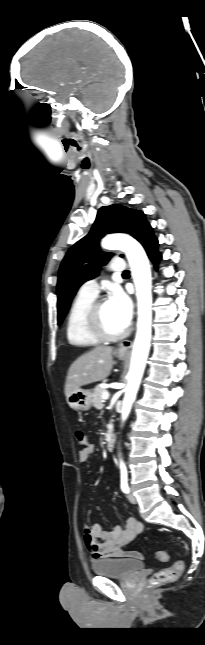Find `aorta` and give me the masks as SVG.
Wrapping results in <instances>:
<instances>
[{
	"mask_svg": "<svg viewBox=\"0 0 205 645\" xmlns=\"http://www.w3.org/2000/svg\"><path fill=\"white\" fill-rule=\"evenodd\" d=\"M102 247L107 250L119 249L125 252L131 267L136 287L138 319L134 340L128 384L122 405V420L128 417L135 401L146 366L151 341L152 324V279L147 255L142 246L126 235H110L103 239Z\"/></svg>",
	"mask_w": 205,
	"mask_h": 645,
	"instance_id": "762f6f07",
	"label": "aorta"
}]
</instances>
